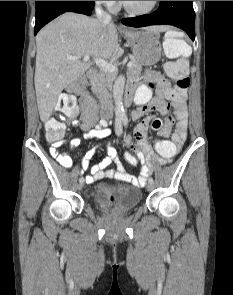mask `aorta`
<instances>
[{
    "mask_svg": "<svg viewBox=\"0 0 233 295\" xmlns=\"http://www.w3.org/2000/svg\"><path fill=\"white\" fill-rule=\"evenodd\" d=\"M124 85H125V77L119 76L114 87L115 110L119 116L125 115V109L123 105Z\"/></svg>",
    "mask_w": 233,
    "mask_h": 295,
    "instance_id": "aorta-1",
    "label": "aorta"
}]
</instances>
